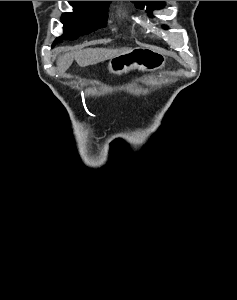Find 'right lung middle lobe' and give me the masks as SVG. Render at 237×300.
<instances>
[{"label": "right lung middle lobe", "instance_id": "right-lung-middle-lobe-1", "mask_svg": "<svg viewBox=\"0 0 237 300\" xmlns=\"http://www.w3.org/2000/svg\"><path fill=\"white\" fill-rule=\"evenodd\" d=\"M73 7L72 13H64L61 17L64 34L58 37L52 47L63 39L75 40L80 35L89 34L106 25L108 3L94 1H68Z\"/></svg>", "mask_w": 237, "mask_h": 300}]
</instances>
